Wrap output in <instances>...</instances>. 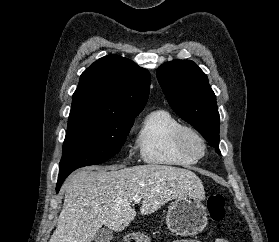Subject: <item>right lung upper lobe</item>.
Here are the masks:
<instances>
[{"instance_id":"1","label":"right lung upper lobe","mask_w":279,"mask_h":242,"mask_svg":"<svg viewBox=\"0 0 279 242\" xmlns=\"http://www.w3.org/2000/svg\"><path fill=\"white\" fill-rule=\"evenodd\" d=\"M150 73L119 55L98 59L80 76L70 115L93 119L136 117L144 108Z\"/></svg>"}]
</instances>
